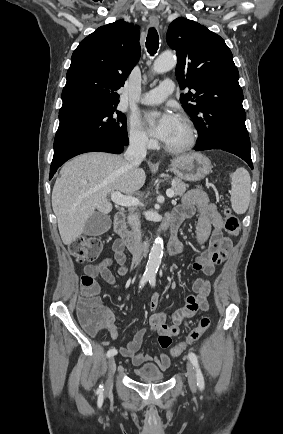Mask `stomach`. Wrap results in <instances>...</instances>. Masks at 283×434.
I'll return each instance as SVG.
<instances>
[{"instance_id": "obj_1", "label": "stomach", "mask_w": 283, "mask_h": 434, "mask_svg": "<svg viewBox=\"0 0 283 434\" xmlns=\"http://www.w3.org/2000/svg\"><path fill=\"white\" fill-rule=\"evenodd\" d=\"M171 170L178 178L195 182L206 177L212 165L208 157L193 152L175 157L171 161Z\"/></svg>"}]
</instances>
